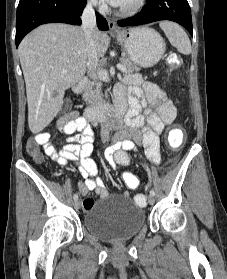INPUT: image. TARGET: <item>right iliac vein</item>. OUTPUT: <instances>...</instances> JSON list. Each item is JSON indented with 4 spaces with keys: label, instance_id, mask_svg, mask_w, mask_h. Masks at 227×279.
Listing matches in <instances>:
<instances>
[{
    "label": "right iliac vein",
    "instance_id": "obj_1",
    "mask_svg": "<svg viewBox=\"0 0 227 279\" xmlns=\"http://www.w3.org/2000/svg\"><path fill=\"white\" fill-rule=\"evenodd\" d=\"M73 205H74V208H75V209H79L80 206H81L80 200H75L74 203H73Z\"/></svg>",
    "mask_w": 227,
    "mask_h": 279
}]
</instances>
